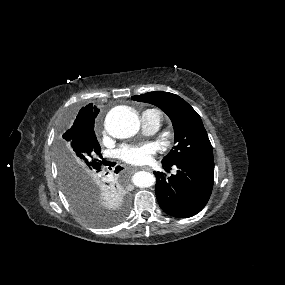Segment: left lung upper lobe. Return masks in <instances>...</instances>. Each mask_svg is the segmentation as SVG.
<instances>
[{
  "mask_svg": "<svg viewBox=\"0 0 285 285\" xmlns=\"http://www.w3.org/2000/svg\"><path fill=\"white\" fill-rule=\"evenodd\" d=\"M133 100L158 106L171 119L175 146L162 164L173 166L189 162H214L212 146L197 112L181 97L163 91L133 96Z\"/></svg>",
  "mask_w": 285,
  "mask_h": 285,
  "instance_id": "1",
  "label": "left lung upper lobe"
}]
</instances>
